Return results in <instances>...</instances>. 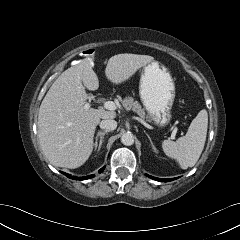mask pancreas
<instances>
[{
  "mask_svg": "<svg viewBox=\"0 0 240 240\" xmlns=\"http://www.w3.org/2000/svg\"><path fill=\"white\" fill-rule=\"evenodd\" d=\"M121 104L126 110H132L136 112L141 118H146L148 121H150V117L146 116L145 110L141 107L138 101L134 100L133 97L128 96L124 98L121 101Z\"/></svg>",
  "mask_w": 240,
  "mask_h": 240,
  "instance_id": "obj_1",
  "label": "pancreas"
}]
</instances>
